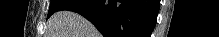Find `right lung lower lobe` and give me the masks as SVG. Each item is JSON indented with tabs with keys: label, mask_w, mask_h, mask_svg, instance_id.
I'll return each instance as SVG.
<instances>
[{
	"label": "right lung lower lobe",
	"mask_w": 219,
	"mask_h": 37,
	"mask_svg": "<svg viewBox=\"0 0 219 37\" xmlns=\"http://www.w3.org/2000/svg\"><path fill=\"white\" fill-rule=\"evenodd\" d=\"M69 10L88 19L104 37H150L159 10L158 0H72Z\"/></svg>",
	"instance_id": "1"
}]
</instances>
